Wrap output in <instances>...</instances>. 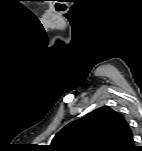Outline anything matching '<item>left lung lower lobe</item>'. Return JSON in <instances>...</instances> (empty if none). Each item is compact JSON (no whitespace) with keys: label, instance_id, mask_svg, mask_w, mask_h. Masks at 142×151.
Listing matches in <instances>:
<instances>
[{"label":"left lung lower lobe","instance_id":"left-lung-lower-lobe-1","mask_svg":"<svg viewBox=\"0 0 142 151\" xmlns=\"http://www.w3.org/2000/svg\"><path fill=\"white\" fill-rule=\"evenodd\" d=\"M127 151H138V149L134 146V141Z\"/></svg>","mask_w":142,"mask_h":151}]
</instances>
